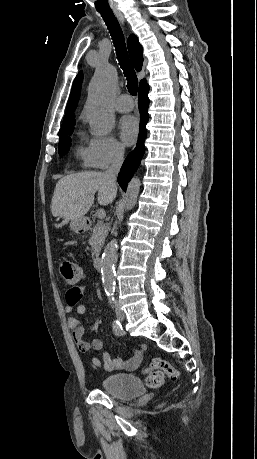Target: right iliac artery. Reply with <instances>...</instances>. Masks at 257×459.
<instances>
[{
  "mask_svg": "<svg viewBox=\"0 0 257 459\" xmlns=\"http://www.w3.org/2000/svg\"><path fill=\"white\" fill-rule=\"evenodd\" d=\"M110 303L113 304L114 298H110ZM113 307V306H112ZM113 332L116 336H122L124 334L123 328L121 323L118 320L113 322Z\"/></svg>",
  "mask_w": 257,
  "mask_h": 459,
  "instance_id": "1",
  "label": "right iliac artery"
}]
</instances>
